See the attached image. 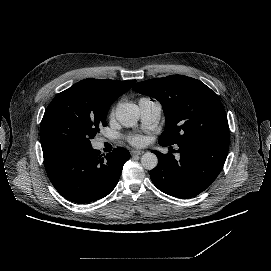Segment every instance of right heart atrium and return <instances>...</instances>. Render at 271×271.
<instances>
[{
    "instance_id": "d8ad5b80",
    "label": "right heart atrium",
    "mask_w": 271,
    "mask_h": 271,
    "mask_svg": "<svg viewBox=\"0 0 271 271\" xmlns=\"http://www.w3.org/2000/svg\"><path fill=\"white\" fill-rule=\"evenodd\" d=\"M114 110H115V108H113V109H112L111 113H113V112H114Z\"/></svg>"
}]
</instances>
